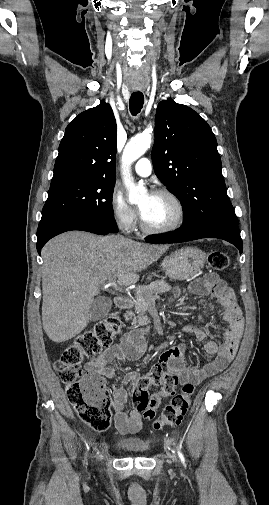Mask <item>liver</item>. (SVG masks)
<instances>
[{
	"label": "liver",
	"instance_id": "liver-1",
	"mask_svg": "<svg viewBox=\"0 0 269 505\" xmlns=\"http://www.w3.org/2000/svg\"><path fill=\"white\" fill-rule=\"evenodd\" d=\"M168 249L120 235L96 236L70 231L50 240L42 249V324L56 343L75 337L91 319L94 297L107 280L135 284L139 272Z\"/></svg>",
	"mask_w": 269,
	"mask_h": 505
}]
</instances>
